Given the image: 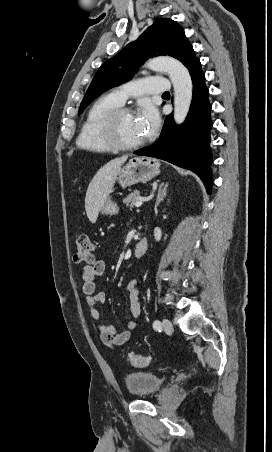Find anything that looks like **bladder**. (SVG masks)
<instances>
[{"mask_svg": "<svg viewBox=\"0 0 272 452\" xmlns=\"http://www.w3.org/2000/svg\"><path fill=\"white\" fill-rule=\"evenodd\" d=\"M123 379L127 392L141 398L157 393L162 386V378L150 371L129 372Z\"/></svg>", "mask_w": 272, "mask_h": 452, "instance_id": "31cf9c89", "label": "bladder"}]
</instances>
